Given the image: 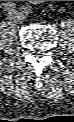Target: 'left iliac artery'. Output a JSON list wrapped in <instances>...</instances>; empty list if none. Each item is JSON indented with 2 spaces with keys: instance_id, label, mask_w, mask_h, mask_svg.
<instances>
[{
  "instance_id": "1",
  "label": "left iliac artery",
  "mask_w": 74,
  "mask_h": 122,
  "mask_svg": "<svg viewBox=\"0 0 74 122\" xmlns=\"http://www.w3.org/2000/svg\"><path fill=\"white\" fill-rule=\"evenodd\" d=\"M23 12L27 15L31 12V7L30 6H24L23 8Z\"/></svg>"
}]
</instances>
